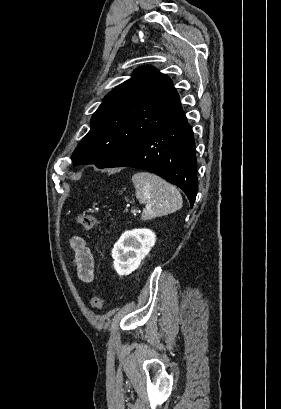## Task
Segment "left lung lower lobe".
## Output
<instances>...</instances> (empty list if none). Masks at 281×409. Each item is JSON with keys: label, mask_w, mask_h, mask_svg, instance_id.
<instances>
[{"label": "left lung lower lobe", "mask_w": 281, "mask_h": 409, "mask_svg": "<svg viewBox=\"0 0 281 409\" xmlns=\"http://www.w3.org/2000/svg\"><path fill=\"white\" fill-rule=\"evenodd\" d=\"M194 147L193 132L181 108L102 168L133 167L153 172L180 187L193 207L198 188Z\"/></svg>", "instance_id": "1"}]
</instances>
